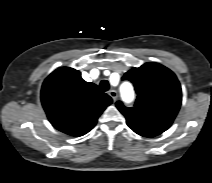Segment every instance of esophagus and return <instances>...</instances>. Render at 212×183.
Here are the masks:
<instances>
[{"label":"esophagus","instance_id":"1","mask_svg":"<svg viewBox=\"0 0 212 183\" xmlns=\"http://www.w3.org/2000/svg\"><path fill=\"white\" fill-rule=\"evenodd\" d=\"M108 94L113 99V101L117 99L118 94L116 90H110Z\"/></svg>","mask_w":212,"mask_h":183}]
</instances>
